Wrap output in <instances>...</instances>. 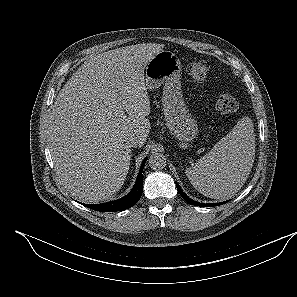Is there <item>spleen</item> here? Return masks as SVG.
Here are the masks:
<instances>
[{
  "mask_svg": "<svg viewBox=\"0 0 297 297\" xmlns=\"http://www.w3.org/2000/svg\"><path fill=\"white\" fill-rule=\"evenodd\" d=\"M255 146L252 120L244 116L185 173L203 195L214 199L231 198L241 189L251 172Z\"/></svg>",
  "mask_w": 297,
  "mask_h": 297,
  "instance_id": "1",
  "label": "spleen"
}]
</instances>
